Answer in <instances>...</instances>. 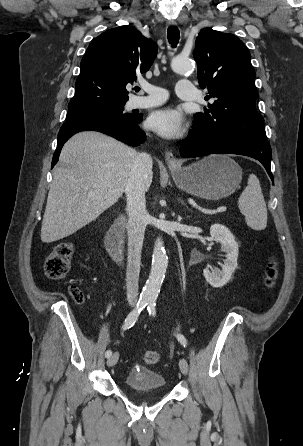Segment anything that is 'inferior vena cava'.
Returning <instances> with one entry per match:
<instances>
[{"label": "inferior vena cava", "instance_id": "602c4592", "mask_svg": "<svg viewBox=\"0 0 303 446\" xmlns=\"http://www.w3.org/2000/svg\"><path fill=\"white\" fill-rule=\"evenodd\" d=\"M152 173V158L146 153L135 157L126 184V212L128 215V260L126 272L127 300L134 302L138 298L141 251L143 247L146 200L145 192Z\"/></svg>", "mask_w": 303, "mask_h": 446}]
</instances>
